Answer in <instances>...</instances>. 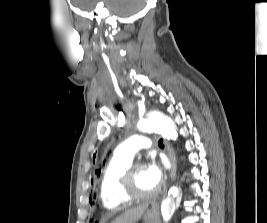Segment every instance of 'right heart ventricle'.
Wrapping results in <instances>:
<instances>
[{
    "mask_svg": "<svg viewBox=\"0 0 267 223\" xmlns=\"http://www.w3.org/2000/svg\"><path fill=\"white\" fill-rule=\"evenodd\" d=\"M131 164L132 160L113 155L104 169L100 186V198L104 208L110 212L119 210L129 203L122 194L121 177Z\"/></svg>",
    "mask_w": 267,
    "mask_h": 223,
    "instance_id": "1",
    "label": "right heart ventricle"
}]
</instances>
